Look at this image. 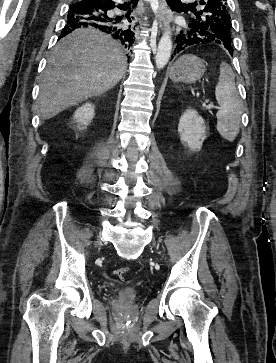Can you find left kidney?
Listing matches in <instances>:
<instances>
[{
    "label": "left kidney",
    "instance_id": "obj_1",
    "mask_svg": "<svg viewBox=\"0 0 276 363\" xmlns=\"http://www.w3.org/2000/svg\"><path fill=\"white\" fill-rule=\"evenodd\" d=\"M181 142L191 151H199L206 138L205 123L195 109H187L178 124Z\"/></svg>",
    "mask_w": 276,
    "mask_h": 363
}]
</instances>
